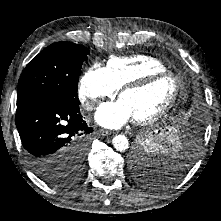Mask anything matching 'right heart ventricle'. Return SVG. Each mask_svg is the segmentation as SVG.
Instances as JSON below:
<instances>
[{
  "instance_id": "obj_1",
  "label": "right heart ventricle",
  "mask_w": 221,
  "mask_h": 221,
  "mask_svg": "<svg viewBox=\"0 0 221 221\" xmlns=\"http://www.w3.org/2000/svg\"><path fill=\"white\" fill-rule=\"evenodd\" d=\"M108 76L118 89L124 84L138 80L145 75L166 71L167 68L155 57L135 54L130 56L111 57L106 67Z\"/></svg>"
}]
</instances>
